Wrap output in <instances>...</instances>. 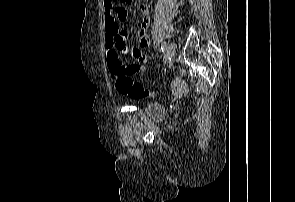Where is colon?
<instances>
[{"label":"colon","instance_id":"obj_1","mask_svg":"<svg viewBox=\"0 0 295 202\" xmlns=\"http://www.w3.org/2000/svg\"><path fill=\"white\" fill-rule=\"evenodd\" d=\"M125 2L129 0H123ZM113 74L116 78L117 90L131 99H142L150 96L159 95L158 92H152L142 87L132 78L131 67L126 64H114L112 66Z\"/></svg>","mask_w":295,"mask_h":202}]
</instances>
